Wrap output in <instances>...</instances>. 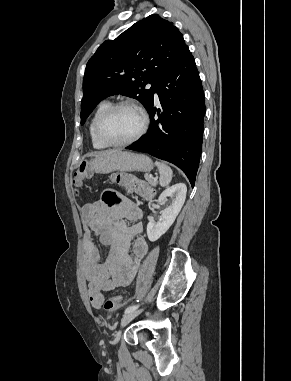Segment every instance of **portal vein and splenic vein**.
Masks as SVG:
<instances>
[{"label": "portal vein and splenic vein", "instance_id": "obj_1", "mask_svg": "<svg viewBox=\"0 0 291 381\" xmlns=\"http://www.w3.org/2000/svg\"><path fill=\"white\" fill-rule=\"evenodd\" d=\"M148 177L153 178V176L151 174ZM155 180H156V178H155Z\"/></svg>", "mask_w": 291, "mask_h": 381}]
</instances>
